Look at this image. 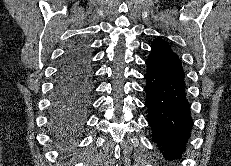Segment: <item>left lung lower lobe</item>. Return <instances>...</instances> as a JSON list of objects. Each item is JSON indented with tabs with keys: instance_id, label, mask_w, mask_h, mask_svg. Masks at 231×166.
<instances>
[{
	"instance_id": "0a47b994",
	"label": "left lung lower lobe",
	"mask_w": 231,
	"mask_h": 166,
	"mask_svg": "<svg viewBox=\"0 0 231 166\" xmlns=\"http://www.w3.org/2000/svg\"><path fill=\"white\" fill-rule=\"evenodd\" d=\"M145 74V105L153 140L169 157L185 150L193 121L185 92L184 70L170 44L156 37L151 43Z\"/></svg>"
}]
</instances>
